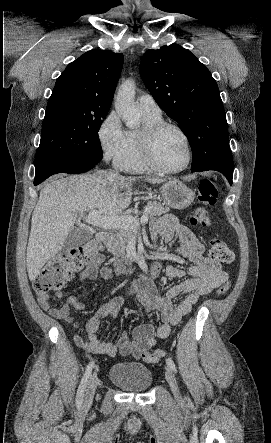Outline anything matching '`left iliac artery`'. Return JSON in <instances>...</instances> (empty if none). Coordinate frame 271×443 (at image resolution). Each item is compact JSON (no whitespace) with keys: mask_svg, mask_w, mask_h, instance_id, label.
Masks as SVG:
<instances>
[{"mask_svg":"<svg viewBox=\"0 0 271 443\" xmlns=\"http://www.w3.org/2000/svg\"><path fill=\"white\" fill-rule=\"evenodd\" d=\"M166 363H167L168 367H169L172 371H174L175 373L177 372V369H176L175 363L173 362V360H172L171 358H167V359H166Z\"/></svg>","mask_w":271,"mask_h":443,"instance_id":"1","label":"left iliac artery"}]
</instances>
